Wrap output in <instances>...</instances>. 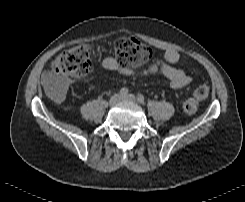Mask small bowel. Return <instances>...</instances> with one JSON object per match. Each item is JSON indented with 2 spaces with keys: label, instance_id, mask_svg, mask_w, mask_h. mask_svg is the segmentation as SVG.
I'll list each match as a JSON object with an SVG mask.
<instances>
[{
  "label": "small bowel",
  "instance_id": "1",
  "mask_svg": "<svg viewBox=\"0 0 245 202\" xmlns=\"http://www.w3.org/2000/svg\"><path fill=\"white\" fill-rule=\"evenodd\" d=\"M180 59V54L169 49L163 56H157L149 65L142 68H129L122 66L113 56H107L102 60L104 69L117 72L127 78H146L156 74L166 77L173 89H181L190 84L191 78L182 69L175 66ZM45 85H52L56 92H64L66 85L59 80L57 76L50 71L43 74Z\"/></svg>",
  "mask_w": 245,
  "mask_h": 202
}]
</instances>
